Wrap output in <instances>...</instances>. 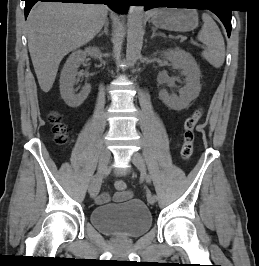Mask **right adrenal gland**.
Here are the masks:
<instances>
[{
  "label": "right adrenal gland",
  "mask_w": 259,
  "mask_h": 266,
  "mask_svg": "<svg viewBox=\"0 0 259 266\" xmlns=\"http://www.w3.org/2000/svg\"><path fill=\"white\" fill-rule=\"evenodd\" d=\"M108 26H109V21L108 19L105 21L104 24V30L98 35V37L102 36L104 33L108 35Z\"/></svg>",
  "instance_id": "right-adrenal-gland-1"
}]
</instances>
